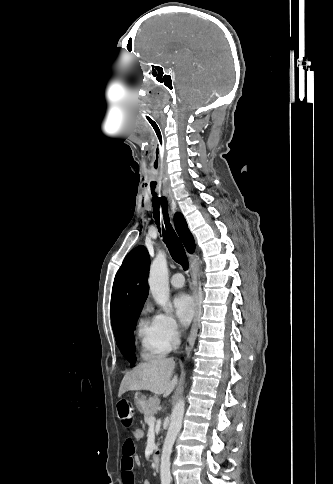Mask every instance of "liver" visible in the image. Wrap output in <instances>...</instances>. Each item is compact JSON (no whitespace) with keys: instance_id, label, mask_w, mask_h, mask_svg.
Returning a JSON list of instances; mask_svg holds the SVG:
<instances>
[{"instance_id":"1","label":"liver","mask_w":333,"mask_h":484,"mask_svg":"<svg viewBox=\"0 0 333 484\" xmlns=\"http://www.w3.org/2000/svg\"><path fill=\"white\" fill-rule=\"evenodd\" d=\"M174 368L173 358H158L140 363L123 377L118 397L135 390H147L168 397L178 382L177 375L172 378Z\"/></svg>"}]
</instances>
